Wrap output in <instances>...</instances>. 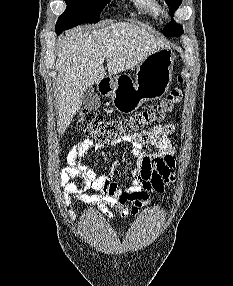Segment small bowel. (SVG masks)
Segmentation results:
<instances>
[{"label": "small bowel", "mask_w": 233, "mask_h": 286, "mask_svg": "<svg viewBox=\"0 0 233 286\" xmlns=\"http://www.w3.org/2000/svg\"><path fill=\"white\" fill-rule=\"evenodd\" d=\"M174 125H157L150 130L127 137L125 141L131 145L135 158L132 171L133 180L127 188H119L110 174H99L95 168L85 163L86 155L92 148L103 150L104 143L85 138L73 145L67 155V166L60 171L59 181L64 189L65 204L78 199L89 204L98 205L103 214L112 219L114 215L126 217L132 212L130 201L138 192H162L166 183L173 181L172 169L176 165L175 147L171 139ZM121 142V141H120ZM119 142L113 143L114 145ZM150 145L154 152H147L144 147ZM79 177L81 182H70L71 178ZM92 189L95 194L85 191ZM72 221L77 219L70 213Z\"/></svg>", "instance_id": "c3829d8e"}]
</instances>
